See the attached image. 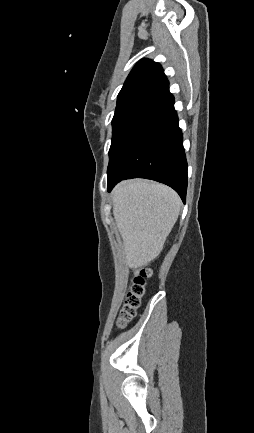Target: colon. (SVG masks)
<instances>
[{
    "mask_svg": "<svg viewBox=\"0 0 254 433\" xmlns=\"http://www.w3.org/2000/svg\"><path fill=\"white\" fill-rule=\"evenodd\" d=\"M150 274L151 272L148 268H143L135 276L118 317L117 324L119 327H124L134 317L145 292V280Z\"/></svg>",
    "mask_w": 254,
    "mask_h": 433,
    "instance_id": "colon-1",
    "label": "colon"
}]
</instances>
